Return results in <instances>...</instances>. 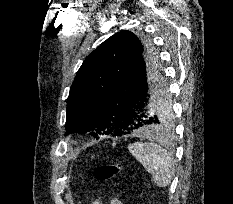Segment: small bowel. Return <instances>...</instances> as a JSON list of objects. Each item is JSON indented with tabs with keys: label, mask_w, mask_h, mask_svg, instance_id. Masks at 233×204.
I'll return each instance as SVG.
<instances>
[{
	"label": "small bowel",
	"mask_w": 233,
	"mask_h": 204,
	"mask_svg": "<svg viewBox=\"0 0 233 204\" xmlns=\"http://www.w3.org/2000/svg\"><path fill=\"white\" fill-rule=\"evenodd\" d=\"M92 204H102L99 201H94ZM110 204H122V202L116 198L111 199Z\"/></svg>",
	"instance_id": "1"
}]
</instances>
